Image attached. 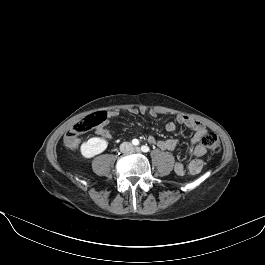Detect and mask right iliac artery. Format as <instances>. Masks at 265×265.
Instances as JSON below:
<instances>
[{"label": "right iliac artery", "mask_w": 265, "mask_h": 265, "mask_svg": "<svg viewBox=\"0 0 265 265\" xmlns=\"http://www.w3.org/2000/svg\"><path fill=\"white\" fill-rule=\"evenodd\" d=\"M132 143H133V145L137 146V145H139V140L138 139H133Z\"/></svg>", "instance_id": "obj_1"}]
</instances>
